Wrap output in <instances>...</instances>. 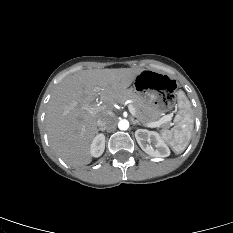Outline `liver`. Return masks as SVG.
I'll return each instance as SVG.
<instances>
[{
    "instance_id": "6515ba94",
    "label": "liver",
    "mask_w": 233,
    "mask_h": 233,
    "mask_svg": "<svg viewBox=\"0 0 233 233\" xmlns=\"http://www.w3.org/2000/svg\"><path fill=\"white\" fill-rule=\"evenodd\" d=\"M143 69L117 68L83 70L64 78L54 89L45 116L53 150L67 163L87 165L92 161L90 145L98 133L97 121L113 113V103L125 97L128 87ZM96 88H100L97 91ZM100 96L104 108L91 114Z\"/></svg>"
}]
</instances>
